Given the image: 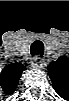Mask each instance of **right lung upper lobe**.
I'll list each match as a JSON object with an SVG mask.
<instances>
[{
  "instance_id": "right-lung-upper-lobe-1",
  "label": "right lung upper lobe",
  "mask_w": 69,
  "mask_h": 101,
  "mask_svg": "<svg viewBox=\"0 0 69 101\" xmlns=\"http://www.w3.org/2000/svg\"><path fill=\"white\" fill-rule=\"evenodd\" d=\"M25 69V66L21 63H11L4 67L0 75V83L6 94H12L15 91Z\"/></svg>"
}]
</instances>
